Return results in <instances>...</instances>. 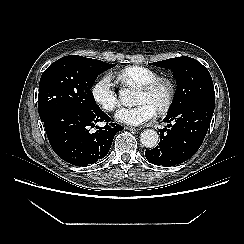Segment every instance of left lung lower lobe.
Masks as SVG:
<instances>
[{
	"mask_svg": "<svg viewBox=\"0 0 244 244\" xmlns=\"http://www.w3.org/2000/svg\"><path fill=\"white\" fill-rule=\"evenodd\" d=\"M215 108L214 99H196L169 111L164 121L168 128L160 129V142L145 151L147 160L155 165L175 166L191 158L200 148Z\"/></svg>",
	"mask_w": 244,
	"mask_h": 244,
	"instance_id": "obj_1",
	"label": "left lung lower lobe"
}]
</instances>
